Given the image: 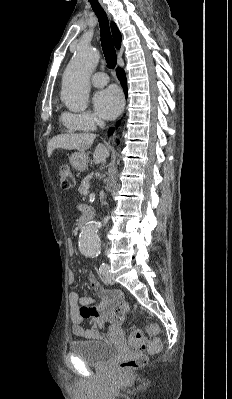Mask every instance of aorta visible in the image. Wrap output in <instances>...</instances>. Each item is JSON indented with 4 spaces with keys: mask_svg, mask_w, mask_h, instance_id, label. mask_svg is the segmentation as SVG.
<instances>
[{
    "mask_svg": "<svg viewBox=\"0 0 232 399\" xmlns=\"http://www.w3.org/2000/svg\"><path fill=\"white\" fill-rule=\"evenodd\" d=\"M99 52L81 46L66 67L62 79L61 100L71 111L87 108L90 94V77L99 62ZM100 222H89L81 231L79 250L85 256H98L101 252L97 234Z\"/></svg>",
    "mask_w": 232,
    "mask_h": 399,
    "instance_id": "obj_1",
    "label": "aorta"
}]
</instances>
